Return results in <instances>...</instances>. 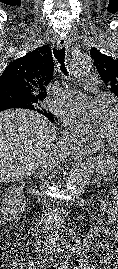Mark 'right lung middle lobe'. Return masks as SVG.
Listing matches in <instances>:
<instances>
[{
	"label": "right lung middle lobe",
	"mask_w": 118,
	"mask_h": 269,
	"mask_svg": "<svg viewBox=\"0 0 118 269\" xmlns=\"http://www.w3.org/2000/svg\"><path fill=\"white\" fill-rule=\"evenodd\" d=\"M11 99L16 104L26 106V107H38L41 105V103L35 98H30V97H25V96H20V95H14Z\"/></svg>",
	"instance_id": "1"
}]
</instances>
